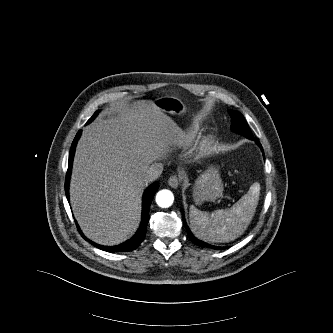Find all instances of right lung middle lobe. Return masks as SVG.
<instances>
[{"instance_id": "obj_1", "label": "right lung middle lobe", "mask_w": 333, "mask_h": 333, "mask_svg": "<svg viewBox=\"0 0 333 333\" xmlns=\"http://www.w3.org/2000/svg\"><path fill=\"white\" fill-rule=\"evenodd\" d=\"M98 112H99V111H96V112L94 113V115L89 119V121H88L87 123H90V122H91V121L97 116Z\"/></svg>"}]
</instances>
